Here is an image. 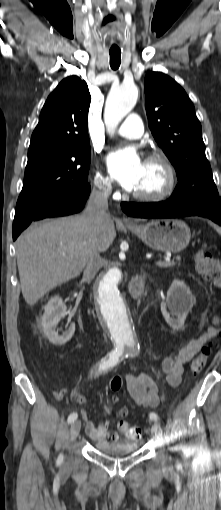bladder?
Masks as SVG:
<instances>
[{
  "label": "bladder",
  "mask_w": 221,
  "mask_h": 510,
  "mask_svg": "<svg viewBox=\"0 0 221 510\" xmlns=\"http://www.w3.org/2000/svg\"><path fill=\"white\" fill-rule=\"evenodd\" d=\"M99 452L110 457H123L137 451L138 444L133 440L120 442H95Z\"/></svg>",
  "instance_id": "31cf9c89"
}]
</instances>
